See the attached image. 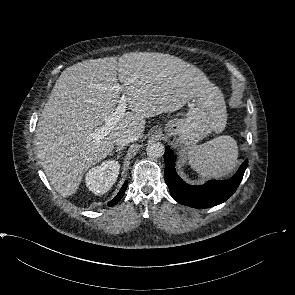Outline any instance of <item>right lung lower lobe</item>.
<instances>
[{
  "label": "right lung lower lobe",
  "instance_id": "right-lung-lower-lobe-1",
  "mask_svg": "<svg viewBox=\"0 0 295 295\" xmlns=\"http://www.w3.org/2000/svg\"><path fill=\"white\" fill-rule=\"evenodd\" d=\"M127 185H128V182L125 181V183L123 184V186H122L121 190L119 191V193L116 195V197L112 201L109 202L108 206H113V205L117 204L118 201H120V199L124 195V192H125V190L127 188Z\"/></svg>",
  "mask_w": 295,
  "mask_h": 295
}]
</instances>
